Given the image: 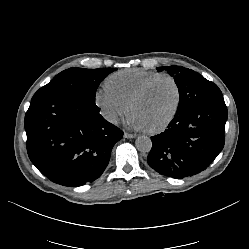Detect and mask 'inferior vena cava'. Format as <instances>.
Segmentation results:
<instances>
[{
	"instance_id": "602c4592",
	"label": "inferior vena cava",
	"mask_w": 249,
	"mask_h": 249,
	"mask_svg": "<svg viewBox=\"0 0 249 249\" xmlns=\"http://www.w3.org/2000/svg\"><path fill=\"white\" fill-rule=\"evenodd\" d=\"M104 118H105L107 121H109L110 123H112V124H118V122H119L117 116H116V115H113V114H111V115H106V114H104Z\"/></svg>"
}]
</instances>
